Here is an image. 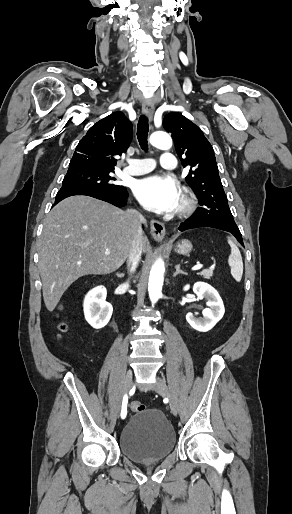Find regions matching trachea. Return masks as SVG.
Returning <instances> with one entry per match:
<instances>
[{
    "label": "trachea",
    "mask_w": 292,
    "mask_h": 514,
    "mask_svg": "<svg viewBox=\"0 0 292 514\" xmlns=\"http://www.w3.org/2000/svg\"><path fill=\"white\" fill-rule=\"evenodd\" d=\"M148 132H149V123L148 118L144 115H141L137 124V138L140 144V147L144 151H148Z\"/></svg>",
    "instance_id": "obj_1"
}]
</instances>
